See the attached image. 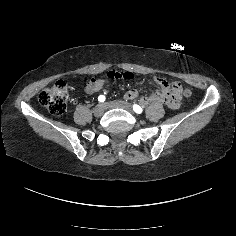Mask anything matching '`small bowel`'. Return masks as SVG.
<instances>
[{
    "label": "small bowel",
    "instance_id": "small-bowel-1",
    "mask_svg": "<svg viewBox=\"0 0 236 236\" xmlns=\"http://www.w3.org/2000/svg\"><path fill=\"white\" fill-rule=\"evenodd\" d=\"M158 83L160 84H164L165 81L162 80V79H157L156 80ZM106 84L105 80L103 79H92L86 86V92L89 93V94H92V93H95L99 90H101L104 85ZM138 93L136 90H129L127 93H126V97L129 98V99H133L135 97H137Z\"/></svg>",
    "mask_w": 236,
    "mask_h": 236
}]
</instances>
